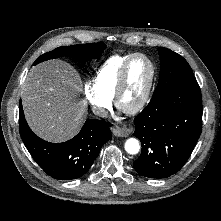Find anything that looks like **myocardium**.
<instances>
[{"instance_id":"1","label":"myocardium","mask_w":221,"mask_h":221,"mask_svg":"<svg viewBox=\"0 0 221 221\" xmlns=\"http://www.w3.org/2000/svg\"><path fill=\"white\" fill-rule=\"evenodd\" d=\"M136 58H143L148 62V64L150 65V69H151L150 78H149V82L146 87V90H145L143 96L141 97V99L139 100V102L136 105H134L132 108L125 110V109L121 108L120 100H121L122 94H123L126 84H127L129 67H130L131 63ZM155 78H156V66H155L154 62L152 61V59L143 53L132 54L126 60V62L124 63V65L120 71L118 83H117L114 97H113L115 105L119 109L123 110L125 113H127L129 115H134V114L139 113L146 106V104L148 103V101L150 99V96H151V93L153 90V86H154V82H155Z\"/></svg>"}]
</instances>
